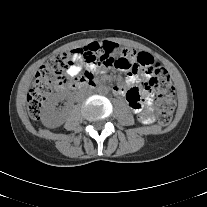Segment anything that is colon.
<instances>
[{
	"label": "colon",
	"instance_id": "1",
	"mask_svg": "<svg viewBox=\"0 0 207 207\" xmlns=\"http://www.w3.org/2000/svg\"><path fill=\"white\" fill-rule=\"evenodd\" d=\"M92 67H116L123 70L150 71L152 78L147 82V90L155 94L157 120L161 125L171 122L175 110L174 87L168 71L155 63L150 50L140 51L120 48L116 43L103 41L94 42L83 48L70 52L62 51L54 54L40 67L35 81L27 97L28 115L38 120L45 101L51 96L55 86L68 82L64 72L73 63L74 57ZM91 79L89 74L81 81ZM78 80H73L76 83Z\"/></svg>",
	"mask_w": 207,
	"mask_h": 207
}]
</instances>
